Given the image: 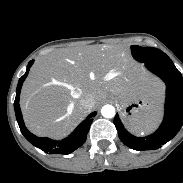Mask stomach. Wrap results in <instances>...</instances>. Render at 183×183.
Instances as JSON below:
<instances>
[{"mask_svg":"<svg viewBox=\"0 0 183 183\" xmlns=\"http://www.w3.org/2000/svg\"><path fill=\"white\" fill-rule=\"evenodd\" d=\"M115 100L123 117L130 123L141 121L147 114L159 106L152 99L146 97L127 99L116 95Z\"/></svg>","mask_w":183,"mask_h":183,"instance_id":"1","label":"stomach"}]
</instances>
